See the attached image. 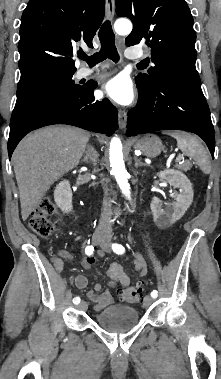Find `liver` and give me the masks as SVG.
<instances>
[{
    "instance_id": "1",
    "label": "liver",
    "mask_w": 221,
    "mask_h": 379,
    "mask_svg": "<svg viewBox=\"0 0 221 379\" xmlns=\"http://www.w3.org/2000/svg\"><path fill=\"white\" fill-rule=\"evenodd\" d=\"M89 138L90 134L79 128L51 126L29 134L18 144L12 162L24 221L50 186L78 165Z\"/></svg>"
}]
</instances>
